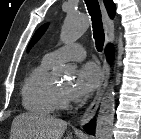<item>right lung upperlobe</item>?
<instances>
[{"label":"right lung upper lobe","mask_w":141,"mask_h":139,"mask_svg":"<svg viewBox=\"0 0 141 139\" xmlns=\"http://www.w3.org/2000/svg\"><path fill=\"white\" fill-rule=\"evenodd\" d=\"M104 3H105L109 16L113 18L115 15V11H116L115 4L113 3L112 0H104Z\"/></svg>","instance_id":"cb5924a9"}]
</instances>
